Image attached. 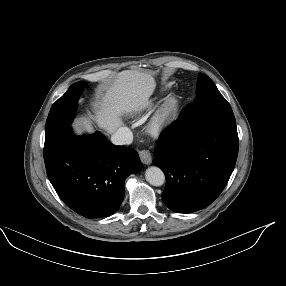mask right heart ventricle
<instances>
[{"mask_svg":"<svg viewBox=\"0 0 286 286\" xmlns=\"http://www.w3.org/2000/svg\"><path fill=\"white\" fill-rule=\"evenodd\" d=\"M146 102L140 101L132 108V114H139L145 107Z\"/></svg>","mask_w":286,"mask_h":286,"instance_id":"obj_1","label":"right heart ventricle"}]
</instances>
